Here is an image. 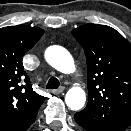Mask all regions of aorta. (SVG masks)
Returning <instances> with one entry per match:
<instances>
[{
  "label": "aorta",
  "instance_id": "1",
  "mask_svg": "<svg viewBox=\"0 0 131 131\" xmlns=\"http://www.w3.org/2000/svg\"><path fill=\"white\" fill-rule=\"evenodd\" d=\"M46 61L56 70L62 73H72L74 71V61L70 53L60 46H50L45 51ZM86 101V95L82 88L72 87L65 96L66 105L71 110L81 109Z\"/></svg>",
  "mask_w": 131,
  "mask_h": 131
}]
</instances>
